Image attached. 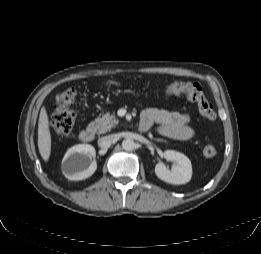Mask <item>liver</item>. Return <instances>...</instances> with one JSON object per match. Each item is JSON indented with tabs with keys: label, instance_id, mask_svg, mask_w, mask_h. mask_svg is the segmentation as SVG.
Listing matches in <instances>:
<instances>
[{
	"label": "liver",
	"instance_id": "obj_1",
	"mask_svg": "<svg viewBox=\"0 0 261 254\" xmlns=\"http://www.w3.org/2000/svg\"><path fill=\"white\" fill-rule=\"evenodd\" d=\"M38 148L44 161H48L51 154V134L49 120L45 107H42L38 123Z\"/></svg>",
	"mask_w": 261,
	"mask_h": 254
}]
</instances>
